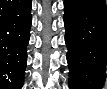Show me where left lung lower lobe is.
Masks as SVG:
<instances>
[{"label":"left lung lower lobe","instance_id":"1","mask_svg":"<svg viewBox=\"0 0 107 89\" xmlns=\"http://www.w3.org/2000/svg\"><path fill=\"white\" fill-rule=\"evenodd\" d=\"M71 89H101L107 64L105 0H64Z\"/></svg>","mask_w":107,"mask_h":89}]
</instances>
